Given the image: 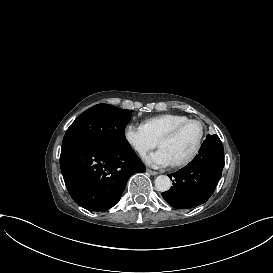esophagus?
I'll list each match as a JSON object with an SVG mask.
<instances>
[{
  "instance_id": "esophagus-1",
  "label": "esophagus",
  "mask_w": 273,
  "mask_h": 273,
  "mask_svg": "<svg viewBox=\"0 0 273 273\" xmlns=\"http://www.w3.org/2000/svg\"><path fill=\"white\" fill-rule=\"evenodd\" d=\"M147 173L150 174V175H157L158 174L157 171H153V170H150V169H147Z\"/></svg>"
}]
</instances>
